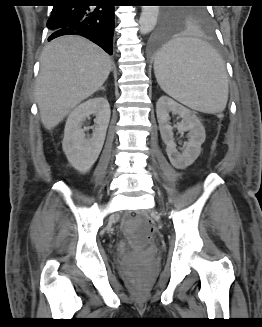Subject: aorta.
Listing matches in <instances>:
<instances>
[{
  "mask_svg": "<svg viewBox=\"0 0 262 327\" xmlns=\"http://www.w3.org/2000/svg\"><path fill=\"white\" fill-rule=\"evenodd\" d=\"M160 9L158 6H143L141 16L139 19V30L140 33L145 35L154 29L157 23Z\"/></svg>",
  "mask_w": 262,
  "mask_h": 327,
  "instance_id": "aorta-1",
  "label": "aorta"
}]
</instances>
